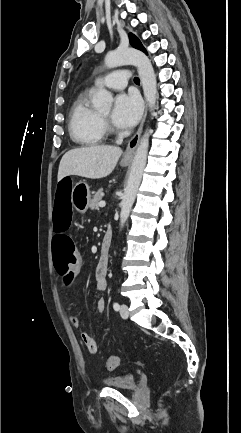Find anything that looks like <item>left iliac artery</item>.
I'll use <instances>...</instances> for the list:
<instances>
[{
  "mask_svg": "<svg viewBox=\"0 0 241 433\" xmlns=\"http://www.w3.org/2000/svg\"><path fill=\"white\" fill-rule=\"evenodd\" d=\"M113 308H114L115 311H118L120 309V305L117 302H115L113 304Z\"/></svg>",
  "mask_w": 241,
  "mask_h": 433,
  "instance_id": "44dca946",
  "label": "left iliac artery"
}]
</instances>
